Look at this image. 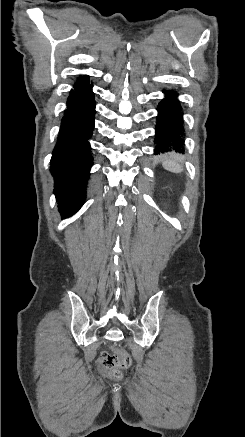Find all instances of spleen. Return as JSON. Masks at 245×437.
Returning <instances> with one entry per match:
<instances>
[{"label":"spleen","instance_id":"1","mask_svg":"<svg viewBox=\"0 0 245 437\" xmlns=\"http://www.w3.org/2000/svg\"><path fill=\"white\" fill-rule=\"evenodd\" d=\"M163 167L171 172L179 173L183 171V165L180 164L176 156H164L162 159Z\"/></svg>","mask_w":245,"mask_h":437}]
</instances>
